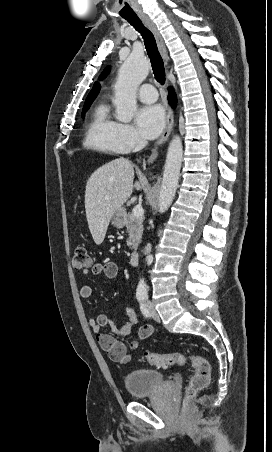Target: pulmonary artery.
I'll list each match as a JSON object with an SVG mask.
<instances>
[{"instance_id":"pulmonary-artery-1","label":"pulmonary artery","mask_w":272,"mask_h":452,"mask_svg":"<svg viewBox=\"0 0 272 452\" xmlns=\"http://www.w3.org/2000/svg\"><path fill=\"white\" fill-rule=\"evenodd\" d=\"M138 96L140 101L147 104L155 102L158 98L155 87L149 83H145L140 87Z\"/></svg>"}]
</instances>
